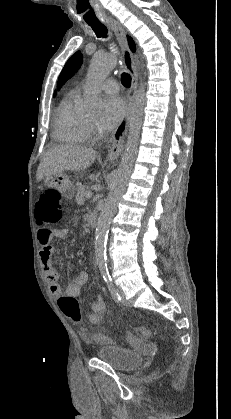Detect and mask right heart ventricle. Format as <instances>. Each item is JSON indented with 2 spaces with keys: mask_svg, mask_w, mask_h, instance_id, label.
<instances>
[{
  "mask_svg": "<svg viewBox=\"0 0 231 419\" xmlns=\"http://www.w3.org/2000/svg\"><path fill=\"white\" fill-rule=\"evenodd\" d=\"M90 134L89 119L82 110L78 92L69 93L57 108L54 137L68 144L85 143Z\"/></svg>",
  "mask_w": 231,
  "mask_h": 419,
  "instance_id": "right-heart-ventricle-1",
  "label": "right heart ventricle"
}]
</instances>
